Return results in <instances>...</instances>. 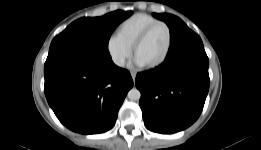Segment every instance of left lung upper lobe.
I'll return each mask as SVG.
<instances>
[{"mask_svg": "<svg viewBox=\"0 0 261 150\" xmlns=\"http://www.w3.org/2000/svg\"><path fill=\"white\" fill-rule=\"evenodd\" d=\"M154 17L164 21L169 29L171 35V42H173L176 38H178L183 32L189 30L187 25L177 16L162 13V14H153Z\"/></svg>", "mask_w": 261, "mask_h": 150, "instance_id": "5c2ea615", "label": "left lung upper lobe"}]
</instances>
